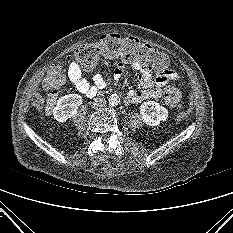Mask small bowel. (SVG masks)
<instances>
[{"label": "small bowel", "mask_w": 233, "mask_h": 233, "mask_svg": "<svg viewBox=\"0 0 233 233\" xmlns=\"http://www.w3.org/2000/svg\"><path fill=\"white\" fill-rule=\"evenodd\" d=\"M103 63L114 72L115 83L119 81L124 69V63L117 58H110L105 56ZM132 68L139 72V79L144 87L140 90L128 91L124 102L126 104H138L146 99H158L162 96L163 87L170 81L179 78L175 71L169 70L167 72L156 71L153 74V68L149 63H130ZM68 78L72 85L82 94L92 97L98 90L106 86V82L101 74L97 73L93 76V83H90L82 76L81 68L77 61H73L68 67Z\"/></svg>", "instance_id": "small-bowel-1"}]
</instances>
